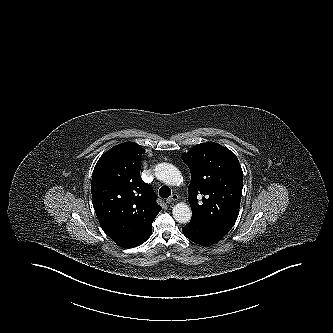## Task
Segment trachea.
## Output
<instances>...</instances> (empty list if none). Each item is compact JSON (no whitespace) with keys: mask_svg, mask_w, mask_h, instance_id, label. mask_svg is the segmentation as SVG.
Instances as JSON below:
<instances>
[{"mask_svg":"<svg viewBox=\"0 0 333 333\" xmlns=\"http://www.w3.org/2000/svg\"><path fill=\"white\" fill-rule=\"evenodd\" d=\"M159 195L163 198H167L171 195V189L168 186H162L159 190Z\"/></svg>","mask_w":333,"mask_h":333,"instance_id":"3493384b","label":"trachea"}]
</instances>
